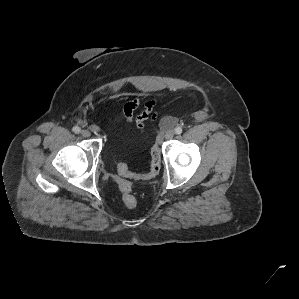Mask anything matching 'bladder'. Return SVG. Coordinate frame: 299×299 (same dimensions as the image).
Here are the masks:
<instances>
[{"label":"bladder","instance_id":"obj_1","mask_svg":"<svg viewBox=\"0 0 299 299\" xmlns=\"http://www.w3.org/2000/svg\"><path fill=\"white\" fill-rule=\"evenodd\" d=\"M129 143L133 144V143H134V141H132V140H129Z\"/></svg>","mask_w":299,"mask_h":299}]
</instances>
